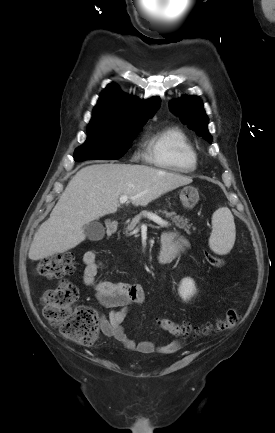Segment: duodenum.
<instances>
[{"label": "duodenum", "mask_w": 275, "mask_h": 433, "mask_svg": "<svg viewBox=\"0 0 275 433\" xmlns=\"http://www.w3.org/2000/svg\"><path fill=\"white\" fill-rule=\"evenodd\" d=\"M117 228H118V225H117V223L115 221H113V220L107 221V223H106V229H107V233L109 235L115 234L116 231H117ZM165 253H166V250H164L162 248L161 251H160V253H159V255H158V261L161 264H165L166 262H168V259L166 258Z\"/></svg>", "instance_id": "duodenum-1"}]
</instances>
